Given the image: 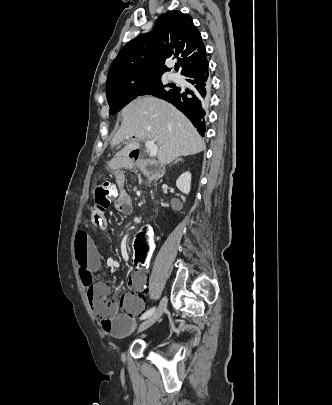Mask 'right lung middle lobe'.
Segmentation results:
<instances>
[{
	"instance_id": "1",
	"label": "right lung middle lobe",
	"mask_w": 332,
	"mask_h": 405,
	"mask_svg": "<svg viewBox=\"0 0 332 405\" xmlns=\"http://www.w3.org/2000/svg\"><path fill=\"white\" fill-rule=\"evenodd\" d=\"M173 84L164 86L161 76L129 78L106 90L109 114L120 111L130 101L140 95H154L160 97L170 91L166 87H173Z\"/></svg>"
}]
</instances>
